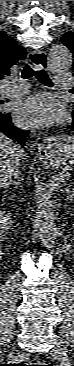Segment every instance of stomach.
<instances>
[{
	"mask_svg": "<svg viewBox=\"0 0 74 366\" xmlns=\"http://www.w3.org/2000/svg\"><path fill=\"white\" fill-rule=\"evenodd\" d=\"M70 143H72V142L69 140H63V141L58 142V144H54V147L57 149H62L63 146H72V144H70Z\"/></svg>",
	"mask_w": 74,
	"mask_h": 366,
	"instance_id": "stomach-1",
	"label": "stomach"
}]
</instances>
